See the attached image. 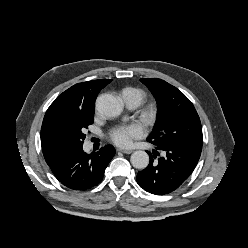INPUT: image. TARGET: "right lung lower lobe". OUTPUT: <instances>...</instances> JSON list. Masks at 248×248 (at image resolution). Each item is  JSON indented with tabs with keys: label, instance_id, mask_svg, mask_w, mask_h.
I'll list each match as a JSON object with an SVG mask.
<instances>
[{
	"label": "right lung lower lobe",
	"instance_id": "98d812e1",
	"mask_svg": "<svg viewBox=\"0 0 248 248\" xmlns=\"http://www.w3.org/2000/svg\"><path fill=\"white\" fill-rule=\"evenodd\" d=\"M114 155L115 149L109 145L92 154L85 153L80 145L67 150L49 167L64 186L73 190H87L102 181Z\"/></svg>",
	"mask_w": 248,
	"mask_h": 248
}]
</instances>
